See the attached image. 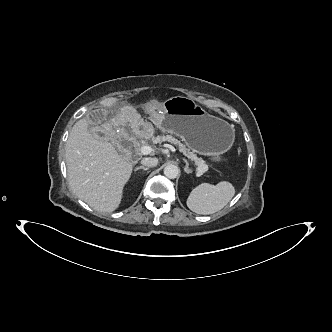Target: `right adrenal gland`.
<instances>
[{
    "label": "right adrenal gland",
    "instance_id": "right-adrenal-gland-1",
    "mask_svg": "<svg viewBox=\"0 0 332 332\" xmlns=\"http://www.w3.org/2000/svg\"><path fill=\"white\" fill-rule=\"evenodd\" d=\"M140 169H143L144 171H148V170H149V167H144V166L137 167V168H135V172H136L137 170H140Z\"/></svg>",
    "mask_w": 332,
    "mask_h": 332
}]
</instances>
